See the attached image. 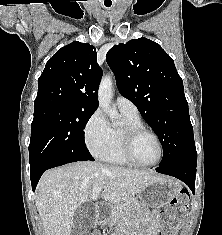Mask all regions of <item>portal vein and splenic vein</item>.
Returning a JSON list of instances; mask_svg holds the SVG:
<instances>
[{"label": "portal vein and splenic vein", "instance_id": "1", "mask_svg": "<svg viewBox=\"0 0 222 235\" xmlns=\"http://www.w3.org/2000/svg\"><path fill=\"white\" fill-rule=\"evenodd\" d=\"M102 189H103V187H101V186L95 187V188H93L92 192L93 193H99Z\"/></svg>", "mask_w": 222, "mask_h": 235}]
</instances>
